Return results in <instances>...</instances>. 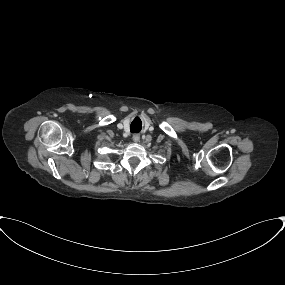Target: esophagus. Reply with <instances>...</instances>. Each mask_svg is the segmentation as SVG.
<instances>
[{"label":"esophagus","mask_w":285,"mask_h":285,"mask_svg":"<svg viewBox=\"0 0 285 285\" xmlns=\"http://www.w3.org/2000/svg\"><path fill=\"white\" fill-rule=\"evenodd\" d=\"M140 140V135L139 134H134L133 135V141L138 142Z\"/></svg>","instance_id":"1"}]
</instances>
